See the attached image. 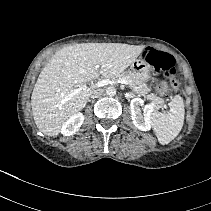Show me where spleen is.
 I'll return each instance as SVG.
<instances>
[{
	"label": "spleen",
	"mask_w": 211,
	"mask_h": 211,
	"mask_svg": "<svg viewBox=\"0 0 211 211\" xmlns=\"http://www.w3.org/2000/svg\"><path fill=\"white\" fill-rule=\"evenodd\" d=\"M184 116V102L179 95L172 99L168 111L151 114V126L160 144H168L177 137L183 127Z\"/></svg>",
	"instance_id": "obj_1"
}]
</instances>
